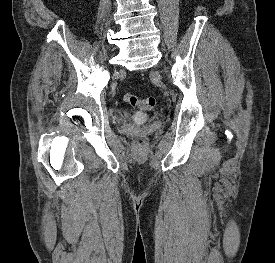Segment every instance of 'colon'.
I'll list each match as a JSON object with an SVG mask.
<instances>
[{"label":"colon","instance_id":"obj_1","mask_svg":"<svg viewBox=\"0 0 275 263\" xmlns=\"http://www.w3.org/2000/svg\"><path fill=\"white\" fill-rule=\"evenodd\" d=\"M123 101L132 107H137L143 110H152L156 105V99L154 97H147L140 99L134 94H125L123 96ZM146 143L144 136H137L135 139V144L137 146H142Z\"/></svg>","mask_w":275,"mask_h":263}]
</instances>
